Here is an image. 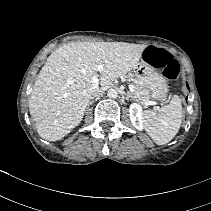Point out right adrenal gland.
<instances>
[{
	"label": "right adrenal gland",
	"mask_w": 211,
	"mask_h": 211,
	"mask_svg": "<svg viewBox=\"0 0 211 211\" xmlns=\"http://www.w3.org/2000/svg\"><path fill=\"white\" fill-rule=\"evenodd\" d=\"M92 103H93V101H89V103H88V107H89Z\"/></svg>",
	"instance_id": "obj_1"
}]
</instances>
